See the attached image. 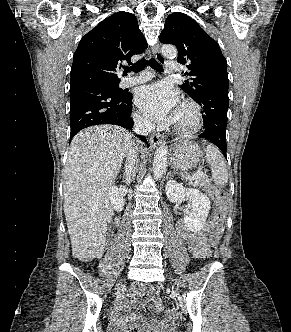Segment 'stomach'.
I'll return each instance as SVG.
<instances>
[{"mask_svg": "<svg viewBox=\"0 0 291 332\" xmlns=\"http://www.w3.org/2000/svg\"><path fill=\"white\" fill-rule=\"evenodd\" d=\"M201 159L199 146L192 141H179L173 146L171 162L174 168L188 170L196 166Z\"/></svg>", "mask_w": 291, "mask_h": 332, "instance_id": "obj_1", "label": "stomach"}]
</instances>
